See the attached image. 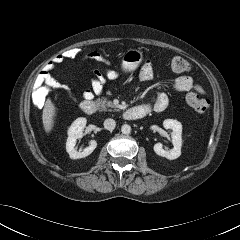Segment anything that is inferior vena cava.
Here are the masks:
<instances>
[{"label": "inferior vena cava", "instance_id": "1", "mask_svg": "<svg viewBox=\"0 0 240 240\" xmlns=\"http://www.w3.org/2000/svg\"><path fill=\"white\" fill-rule=\"evenodd\" d=\"M116 126V122L113 119H106L104 121V128L107 130H113Z\"/></svg>", "mask_w": 240, "mask_h": 240}]
</instances>
